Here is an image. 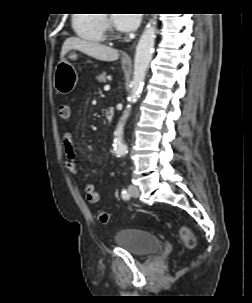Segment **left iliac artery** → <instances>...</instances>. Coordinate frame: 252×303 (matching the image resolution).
Masks as SVG:
<instances>
[{
    "mask_svg": "<svg viewBox=\"0 0 252 303\" xmlns=\"http://www.w3.org/2000/svg\"><path fill=\"white\" fill-rule=\"evenodd\" d=\"M121 193H122V198L123 199H128L129 198V194L125 189H123Z\"/></svg>",
    "mask_w": 252,
    "mask_h": 303,
    "instance_id": "left-iliac-artery-1",
    "label": "left iliac artery"
}]
</instances>
